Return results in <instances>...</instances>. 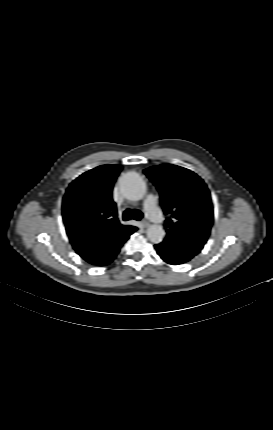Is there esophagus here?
Segmentation results:
<instances>
[{
    "label": "esophagus",
    "mask_w": 273,
    "mask_h": 430,
    "mask_svg": "<svg viewBox=\"0 0 273 430\" xmlns=\"http://www.w3.org/2000/svg\"><path fill=\"white\" fill-rule=\"evenodd\" d=\"M141 224H142V226H143L144 228H146V227H148V226H149V223H148L147 221H145V220H143V221L141 222Z\"/></svg>",
    "instance_id": "esophagus-1"
}]
</instances>
